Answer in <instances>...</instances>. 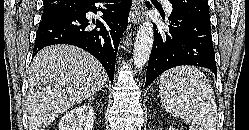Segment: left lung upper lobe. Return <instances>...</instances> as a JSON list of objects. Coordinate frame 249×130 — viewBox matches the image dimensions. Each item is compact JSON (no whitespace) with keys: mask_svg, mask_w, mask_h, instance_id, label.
I'll return each mask as SVG.
<instances>
[{"mask_svg":"<svg viewBox=\"0 0 249 130\" xmlns=\"http://www.w3.org/2000/svg\"><path fill=\"white\" fill-rule=\"evenodd\" d=\"M173 10L210 23L208 0H170Z\"/></svg>","mask_w":249,"mask_h":130,"instance_id":"5c2ea615","label":"left lung upper lobe"}]
</instances>
